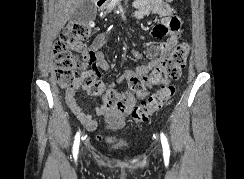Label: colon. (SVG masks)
I'll list each match as a JSON object with an SVG mask.
<instances>
[{
  "label": "colon",
  "mask_w": 244,
  "mask_h": 179,
  "mask_svg": "<svg viewBox=\"0 0 244 179\" xmlns=\"http://www.w3.org/2000/svg\"><path fill=\"white\" fill-rule=\"evenodd\" d=\"M94 26L84 22V26L69 24L60 34L55 44L56 76L60 86L75 89L81 86L88 95L101 98L105 108L112 115L123 113L127 106L116 92L106 87L100 78L93 57L85 50L83 41L87 40ZM189 53L186 42L178 43L171 54L152 73L145 76H132L128 80V90L133 96L157 87V90L142 101V106H132L131 116L137 123H144L168 103L176 94L173 81L181 77ZM89 119H86V123Z\"/></svg>",
  "instance_id": "obj_1"
}]
</instances>
